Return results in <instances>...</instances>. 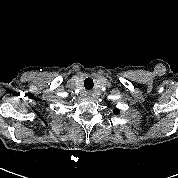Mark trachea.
I'll use <instances>...</instances> for the list:
<instances>
[{"label":"trachea","instance_id":"3493384b","mask_svg":"<svg viewBox=\"0 0 178 178\" xmlns=\"http://www.w3.org/2000/svg\"><path fill=\"white\" fill-rule=\"evenodd\" d=\"M84 87L88 90L93 88V80L91 78H87L84 81Z\"/></svg>","mask_w":178,"mask_h":178}]
</instances>
